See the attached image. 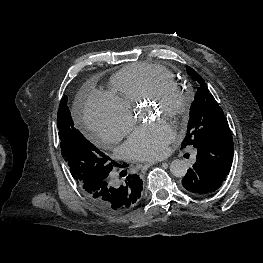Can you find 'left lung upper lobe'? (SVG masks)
<instances>
[{"mask_svg": "<svg viewBox=\"0 0 263 263\" xmlns=\"http://www.w3.org/2000/svg\"><path fill=\"white\" fill-rule=\"evenodd\" d=\"M187 72L191 79L197 82L198 88L191 105L188 130L182 147H198L218 133L230 132V128L223 110L201 76L190 67H187Z\"/></svg>", "mask_w": 263, "mask_h": 263, "instance_id": "left-lung-upper-lobe-1", "label": "left lung upper lobe"}]
</instances>
